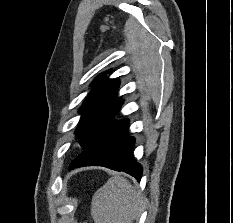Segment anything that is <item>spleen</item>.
Segmentation results:
<instances>
[{"label":"spleen","mask_w":233,"mask_h":223,"mask_svg":"<svg viewBox=\"0 0 233 223\" xmlns=\"http://www.w3.org/2000/svg\"><path fill=\"white\" fill-rule=\"evenodd\" d=\"M145 197L122 175H113L94 193L90 215L94 223H132L143 211Z\"/></svg>","instance_id":"obj_1"}]
</instances>
